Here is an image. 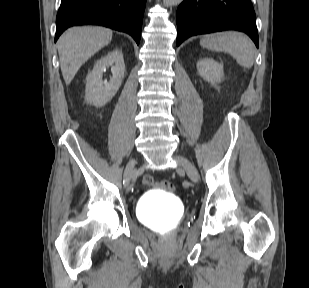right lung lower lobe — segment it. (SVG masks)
Wrapping results in <instances>:
<instances>
[{
	"instance_id": "1",
	"label": "right lung lower lobe",
	"mask_w": 309,
	"mask_h": 288,
	"mask_svg": "<svg viewBox=\"0 0 309 288\" xmlns=\"http://www.w3.org/2000/svg\"><path fill=\"white\" fill-rule=\"evenodd\" d=\"M146 0H61L55 42L70 26L95 24L130 34L140 42Z\"/></svg>"
}]
</instances>
